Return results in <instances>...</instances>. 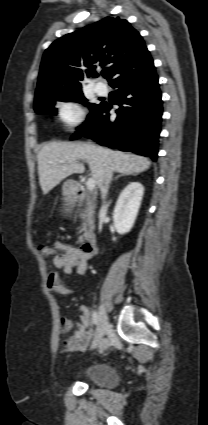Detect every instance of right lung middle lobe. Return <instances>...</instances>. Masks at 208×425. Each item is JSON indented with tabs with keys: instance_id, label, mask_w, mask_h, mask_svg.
<instances>
[{
	"instance_id": "dd1d6c3e",
	"label": "right lung middle lobe",
	"mask_w": 208,
	"mask_h": 425,
	"mask_svg": "<svg viewBox=\"0 0 208 425\" xmlns=\"http://www.w3.org/2000/svg\"><path fill=\"white\" fill-rule=\"evenodd\" d=\"M58 101L79 102L87 106L91 112L98 107V104L89 103L88 100L84 97L82 90H79L70 93L55 92L45 95L35 102L34 109L38 113L56 114V109L54 108V105Z\"/></svg>"
}]
</instances>
